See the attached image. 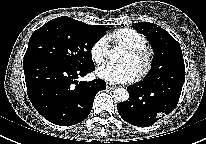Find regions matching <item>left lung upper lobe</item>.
Returning a JSON list of instances; mask_svg holds the SVG:
<instances>
[{"label": "left lung upper lobe", "instance_id": "obj_1", "mask_svg": "<svg viewBox=\"0 0 206 144\" xmlns=\"http://www.w3.org/2000/svg\"><path fill=\"white\" fill-rule=\"evenodd\" d=\"M133 28L149 40L154 59L150 72L140 81L144 85L160 82L176 72H185L184 59L180 44L163 28L149 22L134 23Z\"/></svg>", "mask_w": 206, "mask_h": 144}]
</instances>
